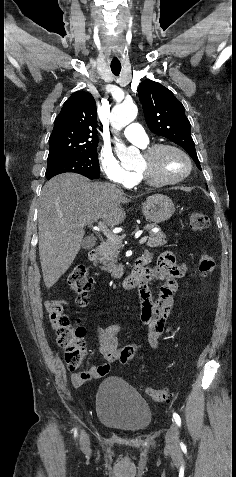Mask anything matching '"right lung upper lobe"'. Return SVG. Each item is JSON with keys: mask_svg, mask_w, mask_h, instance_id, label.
<instances>
[{"mask_svg": "<svg viewBox=\"0 0 236 477\" xmlns=\"http://www.w3.org/2000/svg\"><path fill=\"white\" fill-rule=\"evenodd\" d=\"M95 100L88 92H75L63 105L49 138L48 160L98 145Z\"/></svg>", "mask_w": 236, "mask_h": 477, "instance_id": "cb5924a9", "label": "right lung upper lobe"}]
</instances>
